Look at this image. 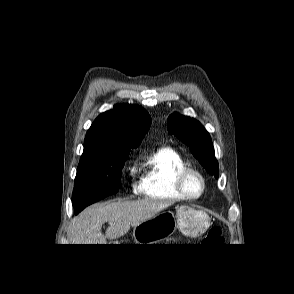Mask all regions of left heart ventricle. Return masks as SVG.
I'll list each match as a JSON object with an SVG mask.
<instances>
[{
	"label": "left heart ventricle",
	"instance_id": "obj_1",
	"mask_svg": "<svg viewBox=\"0 0 294 294\" xmlns=\"http://www.w3.org/2000/svg\"><path fill=\"white\" fill-rule=\"evenodd\" d=\"M186 188L192 195H197L201 190V181L199 177L194 174L188 176L186 180Z\"/></svg>",
	"mask_w": 294,
	"mask_h": 294
}]
</instances>
